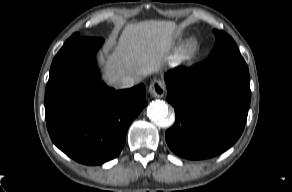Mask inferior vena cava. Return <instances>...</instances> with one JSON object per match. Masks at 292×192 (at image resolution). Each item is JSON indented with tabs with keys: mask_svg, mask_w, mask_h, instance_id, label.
<instances>
[{
	"mask_svg": "<svg viewBox=\"0 0 292 192\" xmlns=\"http://www.w3.org/2000/svg\"><path fill=\"white\" fill-rule=\"evenodd\" d=\"M135 79L131 76H125L120 80L121 88H130L134 86Z\"/></svg>",
	"mask_w": 292,
	"mask_h": 192,
	"instance_id": "inferior-vena-cava-1",
	"label": "inferior vena cava"
}]
</instances>
